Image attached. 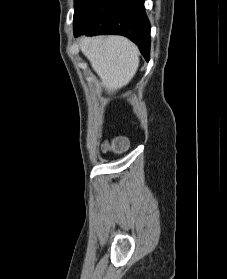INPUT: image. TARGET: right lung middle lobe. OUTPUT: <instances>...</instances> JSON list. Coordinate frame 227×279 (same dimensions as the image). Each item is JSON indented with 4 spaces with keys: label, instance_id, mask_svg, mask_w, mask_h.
Here are the masks:
<instances>
[{
    "label": "right lung middle lobe",
    "instance_id": "right-lung-middle-lobe-1",
    "mask_svg": "<svg viewBox=\"0 0 227 279\" xmlns=\"http://www.w3.org/2000/svg\"><path fill=\"white\" fill-rule=\"evenodd\" d=\"M91 0H74V22L79 18Z\"/></svg>",
    "mask_w": 227,
    "mask_h": 279
}]
</instances>
